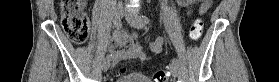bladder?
Wrapping results in <instances>:
<instances>
[{"mask_svg":"<svg viewBox=\"0 0 279 82\" xmlns=\"http://www.w3.org/2000/svg\"><path fill=\"white\" fill-rule=\"evenodd\" d=\"M115 82H153L146 75L141 73H127L115 80Z\"/></svg>","mask_w":279,"mask_h":82,"instance_id":"1","label":"bladder"}]
</instances>
